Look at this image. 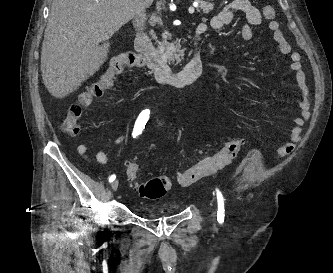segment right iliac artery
Masks as SVG:
<instances>
[{
  "mask_svg": "<svg viewBox=\"0 0 333 273\" xmlns=\"http://www.w3.org/2000/svg\"><path fill=\"white\" fill-rule=\"evenodd\" d=\"M149 115H150L149 109H145L139 114V116L135 122L133 132H132L133 138H135L136 136H138L142 133V131L144 130L145 125L149 119ZM115 178H116L115 175H111L109 177V182H113L115 180Z\"/></svg>",
  "mask_w": 333,
  "mask_h": 273,
  "instance_id": "right-iliac-artery-1",
  "label": "right iliac artery"
}]
</instances>
